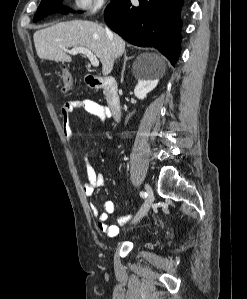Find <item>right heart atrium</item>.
<instances>
[{
  "label": "right heart atrium",
  "instance_id": "obj_1",
  "mask_svg": "<svg viewBox=\"0 0 247 299\" xmlns=\"http://www.w3.org/2000/svg\"><path fill=\"white\" fill-rule=\"evenodd\" d=\"M105 0H73L72 9L77 13L96 12L104 5Z\"/></svg>",
  "mask_w": 247,
  "mask_h": 299
}]
</instances>
